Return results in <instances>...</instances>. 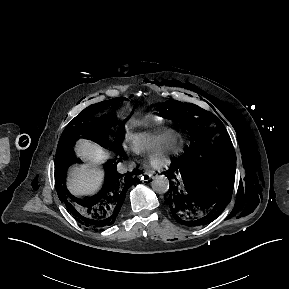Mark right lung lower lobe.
Returning <instances> with one entry per match:
<instances>
[{
	"instance_id": "1",
	"label": "right lung lower lobe",
	"mask_w": 289,
	"mask_h": 289,
	"mask_svg": "<svg viewBox=\"0 0 289 289\" xmlns=\"http://www.w3.org/2000/svg\"><path fill=\"white\" fill-rule=\"evenodd\" d=\"M111 149L114 150V147ZM67 157L70 165L80 162L73 150ZM66 169L60 176L55 174L58 197L80 224L96 232L117 221L127 190L139 181L138 175L141 174L139 170H134L124 176L118 173L115 161L109 160L105 163V182L101 191L91 197L78 198L66 188Z\"/></svg>"
}]
</instances>
